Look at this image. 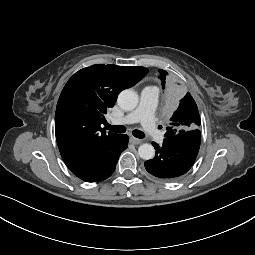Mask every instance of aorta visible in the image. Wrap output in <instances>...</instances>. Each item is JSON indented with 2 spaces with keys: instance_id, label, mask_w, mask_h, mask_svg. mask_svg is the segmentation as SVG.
Masks as SVG:
<instances>
[{
  "instance_id": "obj_1",
  "label": "aorta",
  "mask_w": 255,
  "mask_h": 255,
  "mask_svg": "<svg viewBox=\"0 0 255 255\" xmlns=\"http://www.w3.org/2000/svg\"><path fill=\"white\" fill-rule=\"evenodd\" d=\"M138 94L133 89H125L120 92L118 96V105L126 111H131L138 105ZM139 156L144 160L153 159L155 156V149L149 143H144L138 148Z\"/></svg>"
}]
</instances>
